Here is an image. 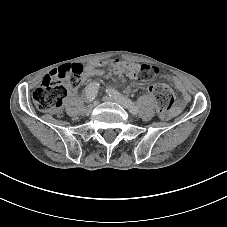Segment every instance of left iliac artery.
Returning <instances> with one entry per match:
<instances>
[{"mask_svg":"<svg viewBox=\"0 0 227 227\" xmlns=\"http://www.w3.org/2000/svg\"><path fill=\"white\" fill-rule=\"evenodd\" d=\"M106 92L107 94L110 96V97H113L115 98L116 100L122 102L124 104V106L126 108L129 109V111L132 113V114H137L138 113V108L134 105V103L128 99V98H125L122 94H120L117 90L115 89H112V88H108L106 89Z\"/></svg>","mask_w":227,"mask_h":227,"instance_id":"44dca946","label":"left iliac artery"}]
</instances>
